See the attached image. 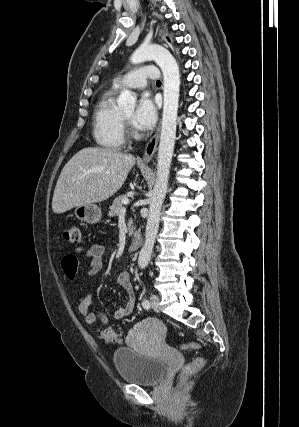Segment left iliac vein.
Wrapping results in <instances>:
<instances>
[{
  "label": "left iliac vein",
  "instance_id": "left-iliac-vein-1",
  "mask_svg": "<svg viewBox=\"0 0 299 427\" xmlns=\"http://www.w3.org/2000/svg\"><path fill=\"white\" fill-rule=\"evenodd\" d=\"M150 302H151V307L154 309V311L160 312L161 308H160L159 297L155 294H152L150 297Z\"/></svg>",
  "mask_w": 299,
  "mask_h": 427
}]
</instances>
